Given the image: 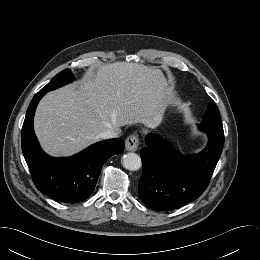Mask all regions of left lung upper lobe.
Masks as SVG:
<instances>
[{
	"label": "left lung upper lobe",
	"instance_id": "obj_1",
	"mask_svg": "<svg viewBox=\"0 0 260 260\" xmlns=\"http://www.w3.org/2000/svg\"><path fill=\"white\" fill-rule=\"evenodd\" d=\"M199 125H208L223 128V125L219 117L218 109L213 100H211L208 104L206 113L204 114L202 121Z\"/></svg>",
	"mask_w": 260,
	"mask_h": 260
}]
</instances>
